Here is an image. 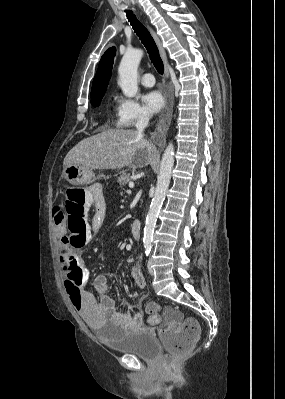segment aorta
<instances>
[{"instance_id":"aorta-1","label":"aorta","mask_w":285,"mask_h":399,"mask_svg":"<svg viewBox=\"0 0 285 399\" xmlns=\"http://www.w3.org/2000/svg\"><path fill=\"white\" fill-rule=\"evenodd\" d=\"M142 56L143 51L141 49H128L120 62L118 85L126 97H134L138 92L137 70ZM173 166L174 147L172 143H169L161 160L156 190L146 217L143 237L145 248L151 247L154 228L169 187Z\"/></svg>"}]
</instances>
